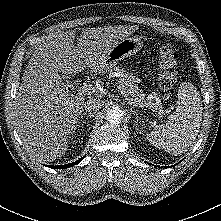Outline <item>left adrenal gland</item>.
Instances as JSON below:
<instances>
[{
	"mask_svg": "<svg viewBox=\"0 0 221 221\" xmlns=\"http://www.w3.org/2000/svg\"><path fill=\"white\" fill-rule=\"evenodd\" d=\"M130 110L132 111V113L134 114V116L136 117V129H138V118H139V116H138V114H137V112L131 107L130 108Z\"/></svg>",
	"mask_w": 221,
	"mask_h": 221,
	"instance_id": "1",
	"label": "left adrenal gland"
}]
</instances>
